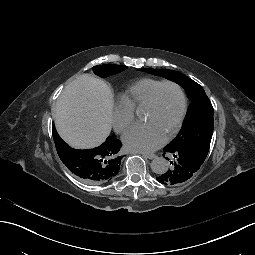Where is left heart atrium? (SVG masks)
Segmentation results:
<instances>
[{"label":"left heart atrium","mask_w":255,"mask_h":255,"mask_svg":"<svg viewBox=\"0 0 255 255\" xmlns=\"http://www.w3.org/2000/svg\"><path fill=\"white\" fill-rule=\"evenodd\" d=\"M166 138L149 124L139 123L131 127L123 136L124 145L136 152L149 153L159 149Z\"/></svg>","instance_id":"left-heart-atrium-1"}]
</instances>
